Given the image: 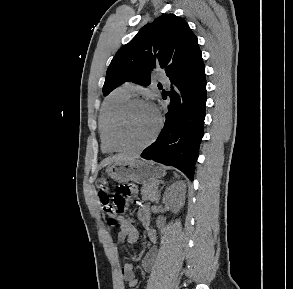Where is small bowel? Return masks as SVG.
Wrapping results in <instances>:
<instances>
[{
  "mask_svg": "<svg viewBox=\"0 0 293 289\" xmlns=\"http://www.w3.org/2000/svg\"><path fill=\"white\" fill-rule=\"evenodd\" d=\"M150 214L151 210L147 205L140 206L138 211V217L146 229L148 239L153 244V246L148 250L142 261V267L145 271H151L153 269L157 257V247L155 246L157 236L156 231L150 227ZM118 221L119 231L116 237L117 241L120 244H133L137 242L139 233L137 229L131 224V222L125 219L123 216H119ZM121 278L123 281L128 283L129 287H137L138 280L135 277L134 268L131 263L124 264V266L121 269Z\"/></svg>",
  "mask_w": 293,
  "mask_h": 289,
  "instance_id": "obj_1",
  "label": "small bowel"
}]
</instances>
